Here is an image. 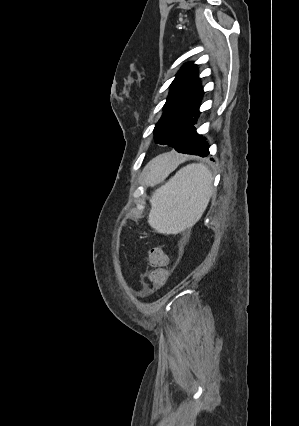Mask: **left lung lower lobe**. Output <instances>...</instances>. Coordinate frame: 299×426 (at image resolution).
I'll use <instances>...</instances> for the list:
<instances>
[{
    "label": "left lung lower lobe",
    "mask_w": 299,
    "mask_h": 426,
    "mask_svg": "<svg viewBox=\"0 0 299 426\" xmlns=\"http://www.w3.org/2000/svg\"><path fill=\"white\" fill-rule=\"evenodd\" d=\"M199 114L187 125L176 140L170 145L180 153H188L206 157L209 154V145L205 139L197 134L196 124Z\"/></svg>",
    "instance_id": "0a47b994"
}]
</instances>
